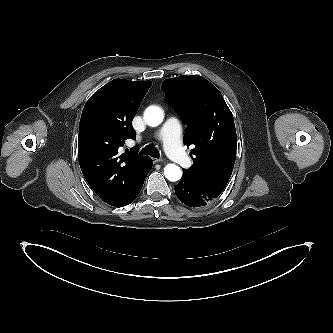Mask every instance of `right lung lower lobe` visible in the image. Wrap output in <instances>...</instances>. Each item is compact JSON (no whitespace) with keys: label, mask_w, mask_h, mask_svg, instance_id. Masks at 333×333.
Here are the masks:
<instances>
[{"label":"right lung lower lobe","mask_w":333,"mask_h":333,"mask_svg":"<svg viewBox=\"0 0 333 333\" xmlns=\"http://www.w3.org/2000/svg\"><path fill=\"white\" fill-rule=\"evenodd\" d=\"M151 167H152V162H150V163L148 164L147 169L145 170L143 176L141 177V179H140V181H139V183H138V185H137V188H136L134 194H133L132 197L129 199V201L126 203V205L130 204L131 202H133V201L137 198V196H138V194L140 193L141 188H142V186H143V182H144V180H145V178H146V176H147L149 170L151 169ZM124 206H125V205H124Z\"/></svg>","instance_id":"obj_1"}]
</instances>
